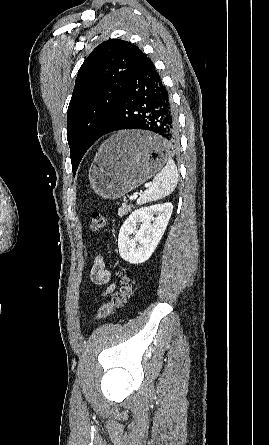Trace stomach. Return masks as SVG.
Returning <instances> with one entry per match:
<instances>
[{"mask_svg": "<svg viewBox=\"0 0 269 445\" xmlns=\"http://www.w3.org/2000/svg\"><path fill=\"white\" fill-rule=\"evenodd\" d=\"M167 142L144 131H121L98 150L89 171L92 189L117 199L149 180L168 158Z\"/></svg>", "mask_w": 269, "mask_h": 445, "instance_id": "stomach-1", "label": "stomach"}]
</instances>
